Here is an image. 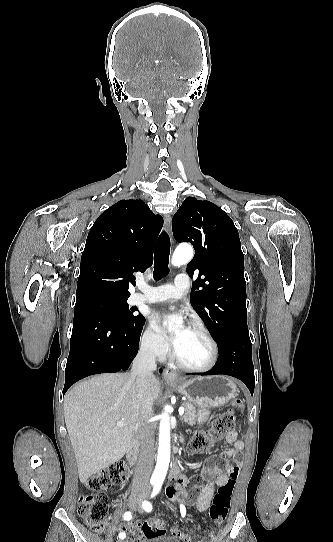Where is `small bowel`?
Returning a JSON list of instances; mask_svg holds the SVG:
<instances>
[{"instance_id":"obj_1","label":"small bowel","mask_w":333,"mask_h":542,"mask_svg":"<svg viewBox=\"0 0 333 542\" xmlns=\"http://www.w3.org/2000/svg\"><path fill=\"white\" fill-rule=\"evenodd\" d=\"M225 440L228 444L232 445L231 448L225 451V455L232 457L234 462H241L243 458L241 452L244 448V442L239 438L238 432L236 430L230 431L228 434H226ZM209 459L211 462L217 463L220 461L221 456L219 453L213 452L210 454ZM206 473L216 474V479L204 485L196 498L195 505L200 512H204L209 508L217 487L227 483L235 484V479H231L219 469L208 468L206 469ZM188 483L189 479L184 474L179 473L177 476L171 477L165 486L166 497L172 502L189 505L191 500L186 490ZM117 530L120 533L132 532L138 538L139 542L142 541L140 534L136 530L135 524L126 523L124 525H119L117 526ZM172 534L173 536L181 539L183 542L184 538H189L187 534L176 528L173 529Z\"/></svg>"}]
</instances>
